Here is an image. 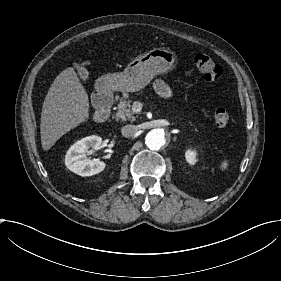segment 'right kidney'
<instances>
[{
	"label": "right kidney",
	"mask_w": 281,
	"mask_h": 281,
	"mask_svg": "<svg viewBox=\"0 0 281 281\" xmlns=\"http://www.w3.org/2000/svg\"><path fill=\"white\" fill-rule=\"evenodd\" d=\"M93 147L95 150L103 149L102 139L91 135L75 142L67 151L65 165L72 172L81 176H90L102 171L105 164L99 159H87V149Z\"/></svg>",
	"instance_id": "right-kidney-1"
}]
</instances>
